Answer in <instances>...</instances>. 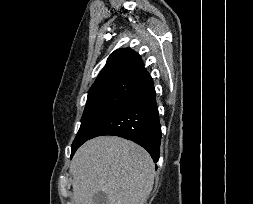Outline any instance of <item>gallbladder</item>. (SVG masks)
<instances>
[{
  "instance_id": "bac80fb5",
  "label": "gallbladder",
  "mask_w": 253,
  "mask_h": 204,
  "mask_svg": "<svg viewBox=\"0 0 253 204\" xmlns=\"http://www.w3.org/2000/svg\"><path fill=\"white\" fill-rule=\"evenodd\" d=\"M94 204H108L107 196L104 192H97L93 196Z\"/></svg>"
}]
</instances>
